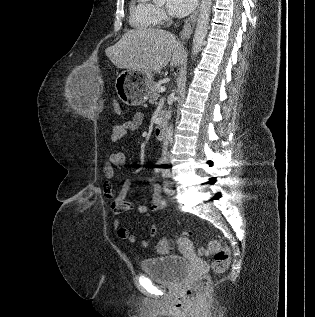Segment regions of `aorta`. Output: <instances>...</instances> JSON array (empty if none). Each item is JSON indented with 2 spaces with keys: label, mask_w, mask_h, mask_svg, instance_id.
Listing matches in <instances>:
<instances>
[{
  "label": "aorta",
  "mask_w": 315,
  "mask_h": 317,
  "mask_svg": "<svg viewBox=\"0 0 315 317\" xmlns=\"http://www.w3.org/2000/svg\"><path fill=\"white\" fill-rule=\"evenodd\" d=\"M154 2H161L163 0H153ZM212 6V0H201L199 16L193 37L192 53L197 55L201 50L205 37L208 31L209 17Z\"/></svg>",
  "instance_id": "1"
}]
</instances>
